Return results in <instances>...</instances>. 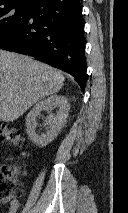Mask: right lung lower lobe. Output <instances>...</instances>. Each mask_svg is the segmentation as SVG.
Returning a JSON list of instances; mask_svg holds the SVG:
<instances>
[{
    "label": "right lung lower lobe",
    "mask_w": 128,
    "mask_h": 213,
    "mask_svg": "<svg viewBox=\"0 0 128 213\" xmlns=\"http://www.w3.org/2000/svg\"><path fill=\"white\" fill-rule=\"evenodd\" d=\"M0 48L46 60L69 72L84 91L86 59L80 0H38Z\"/></svg>",
    "instance_id": "1"
}]
</instances>
